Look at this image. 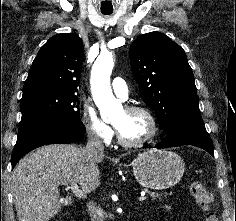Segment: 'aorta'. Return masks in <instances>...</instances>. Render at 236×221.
Returning a JSON list of instances; mask_svg holds the SVG:
<instances>
[{"instance_id":"aorta-1","label":"aorta","mask_w":236,"mask_h":221,"mask_svg":"<svg viewBox=\"0 0 236 221\" xmlns=\"http://www.w3.org/2000/svg\"><path fill=\"white\" fill-rule=\"evenodd\" d=\"M113 66L112 54L105 52L98 56L91 72L93 98L104 119H112L123 113L122 104L113 96L110 86ZM99 73H101V77H99Z\"/></svg>"}]
</instances>
